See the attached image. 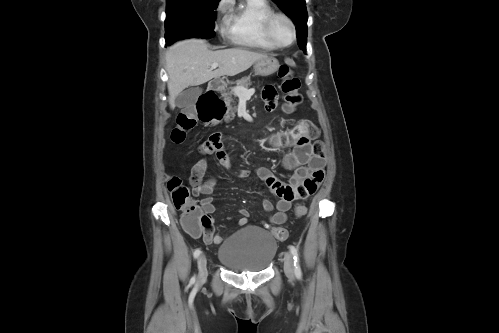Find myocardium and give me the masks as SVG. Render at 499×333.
Returning <instances> with one entry per match:
<instances>
[{
  "label": "myocardium",
  "instance_id": "myocardium-1",
  "mask_svg": "<svg viewBox=\"0 0 499 333\" xmlns=\"http://www.w3.org/2000/svg\"><path fill=\"white\" fill-rule=\"evenodd\" d=\"M277 19L285 20L290 27L291 38H290V41L288 43H281L274 35L273 26H274V23ZM264 30H265L267 37L270 39V41L276 47H279V48H285V47L292 45L296 39L295 24H294L293 20L291 19V17L283 12H275L274 11L270 15H268V17L265 19V22H264Z\"/></svg>",
  "mask_w": 499,
  "mask_h": 333
}]
</instances>
